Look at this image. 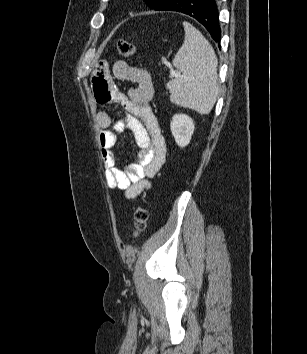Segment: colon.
<instances>
[{
  "label": "colon",
  "mask_w": 307,
  "mask_h": 354,
  "mask_svg": "<svg viewBox=\"0 0 307 354\" xmlns=\"http://www.w3.org/2000/svg\"><path fill=\"white\" fill-rule=\"evenodd\" d=\"M118 52L124 57H131L135 52L134 45L125 39H120L117 42ZM149 212L148 209L143 205L139 204L135 208L134 220L132 224V231L135 235L143 232L148 224Z\"/></svg>",
  "instance_id": "1"
}]
</instances>
